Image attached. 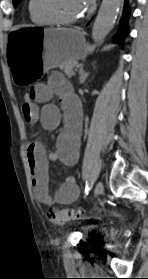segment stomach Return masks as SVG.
<instances>
[{
    "label": "stomach",
    "mask_w": 148,
    "mask_h": 279,
    "mask_svg": "<svg viewBox=\"0 0 148 279\" xmlns=\"http://www.w3.org/2000/svg\"><path fill=\"white\" fill-rule=\"evenodd\" d=\"M8 78H15V87H36L45 72L63 62L86 57L84 35L77 29H46V25H21L10 30L6 39ZM42 49V50H36Z\"/></svg>",
    "instance_id": "0dacf381"
}]
</instances>
